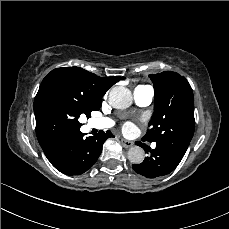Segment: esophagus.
Segmentation results:
<instances>
[{"label": "esophagus", "instance_id": "obj_1", "mask_svg": "<svg viewBox=\"0 0 229 229\" xmlns=\"http://www.w3.org/2000/svg\"><path fill=\"white\" fill-rule=\"evenodd\" d=\"M121 143H122L123 147H125V148H130L134 144L132 141L126 140L124 138L121 139Z\"/></svg>", "mask_w": 229, "mask_h": 229}]
</instances>
